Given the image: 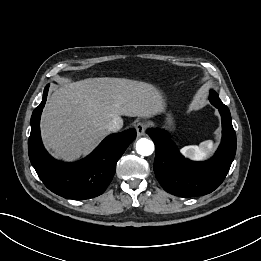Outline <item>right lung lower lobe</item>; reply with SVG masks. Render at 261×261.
<instances>
[{
    "instance_id": "obj_1",
    "label": "right lung lower lobe",
    "mask_w": 261,
    "mask_h": 261,
    "mask_svg": "<svg viewBox=\"0 0 261 261\" xmlns=\"http://www.w3.org/2000/svg\"><path fill=\"white\" fill-rule=\"evenodd\" d=\"M48 88L49 85L45 87L42 102L31 116L28 141L30 161L44 185L55 194L75 200L99 196L111 182L117 161L135 140L136 130L131 128L108 136L89 156L78 162L57 161L47 153L40 136V117Z\"/></svg>"
}]
</instances>
